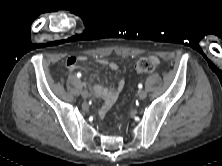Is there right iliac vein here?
I'll list each match as a JSON object with an SVG mask.
<instances>
[{"label": "right iliac vein", "instance_id": "1", "mask_svg": "<svg viewBox=\"0 0 222 166\" xmlns=\"http://www.w3.org/2000/svg\"><path fill=\"white\" fill-rule=\"evenodd\" d=\"M81 96H82L84 99H87V98H88V96H89L88 91L83 90V91L81 92Z\"/></svg>", "mask_w": 222, "mask_h": 166}]
</instances>
